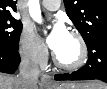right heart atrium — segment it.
Segmentation results:
<instances>
[{
  "mask_svg": "<svg viewBox=\"0 0 107 89\" xmlns=\"http://www.w3.org/2000/svg\"><path fill=\"white\" fill-rule=\"evenodd\" d=\"M19 52L30 64L42 66L47 59V49L30 27H24L19 37Z\"/></svg>",
  "mask_w": 107,
  "mask_h": 89,
  "instance_id": "right-heart-atrium-1",
  "label": "right heart atrium"
}]
</instances>
